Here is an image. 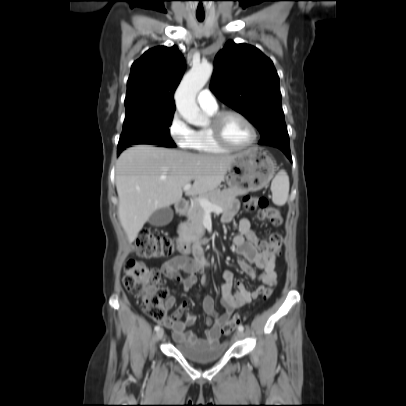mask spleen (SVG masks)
<instances>
[{
  "label": "spleen",
  "instance_id": "1",
  "mask_svg": "<svg viewBox=\"0 0 406 406\" xmlns=\"http://www.w3.org/2000/svg\"><path fill=\"white\" fill-rule=\"evenodd\" d=\"M272 201L282 206L286 203L289 195V177L285 170H281L271 183Z\"/></svg>",
  "mask_w": 406,
  "mask_h": 406
}]
</instances>
